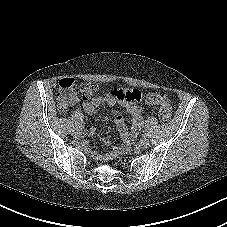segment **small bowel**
Returning <instances> with one entry per match:
<instances>
[{"label": "small bowel", "mask_w": 227, "mask_h": 227, "mask_svg": "<svg viewBox=\"0 0 227 227\" xmlns=\"http://www.w3.org/2000/svg\"><path fill=\"white\" fill-rule=\"evenodd\" d=\"M142 101L143 94L138 88L131 90L113 89L105 96H96L92 100L85 102L83 109L88 115L95 116L102 106H107L112 109L117 106L122 107L133 118L131 129L128 130L123 117L117 111L115 112V123L125 140L131 142L136 138L143 127L145 109L139 105ZM103 143L107 145L109 141L105 139ZM115 154L116 152L113 151L110 152L108 156L112 157Z\"/></svg>", "instance_id": "1"}]
</instances>
